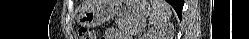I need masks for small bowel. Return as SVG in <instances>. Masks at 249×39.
I'll return each instance as SVG.
<instances>
[{"label": "small bowel", "instance_id": "obj_1", "mask_svg": "<svg viewBox=\"0 0 249 39\" xmlns=\"http://www.w3.org/2000/svg\"><path fill=\"white\" fill-rule=\"evenodd\" d=\"M101 39H119V33L114 28H109Z\"/></svg>", "mask_w": 249, "mask_h": 39}]
</instances>
